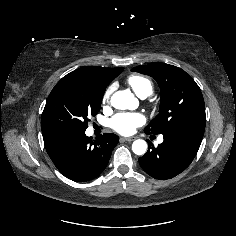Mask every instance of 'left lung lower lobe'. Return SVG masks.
I'll use <instances>...</instances> for the list:
<instances>
[{
	"label": "left lung lower lobe",
	"instance_id": "left-lung-lower-lobe-1",
	"mask_svg": "<svg viewBox=\"0 0 236 236\" xmlns=\"http://www.w3.org/2000/svg\"><path fill=\"white\" fill-rule=\"evenodd\" d=\"M204 130L205 125H188L164 132V141L157 148L148 141V151L139 158V164L155 179L164 180L177 176L194 159Z\"/></svg>",
	"mask_w": 236,
	"mask_h": 236
}]
</instances>
